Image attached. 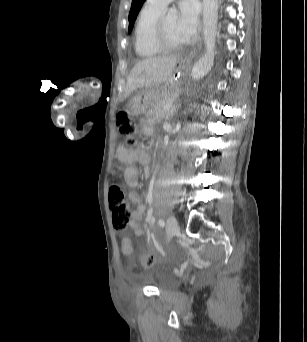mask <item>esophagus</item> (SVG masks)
<instances>
[{"label": "esophagus", "instance_id": "1", "mask_svg": "<svg viewBox=\"0 0 307 342\" xmlns=\"http://www.w3.org/2000/svg\"><path fill=\"white\" fill-rule=\"evenodd\" d=\"M196 55H197V52H196V51H193V52H191L189 58H190V59L195 58Z\"/></svg>", "mask_w": 307, "mask_h": 342}]
</instances>
